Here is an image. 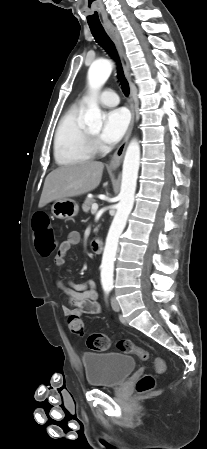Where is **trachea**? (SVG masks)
<instances>
[{
	"label": "trachea",
	"instance_id": "trachea-1",
	"mask_svg": "<svg viewBox=\"0 0 207 449\" xmlns=\"http://www.w3.org/2000/svg\"><path fill=\"white\" fill-rule=\"evenodd\" d=\"M90 30L91 33L94 37V39L96 40V42L105 49V51L113 58L117 61V73H118V79L120 81L121 84V88L122 91L124 93L125 96L129 95V84L128 81L126 80L124 73H123V69L121 66V63L119 61L118 58V54L115 48L114 43L112 42V40L109 38V36L107 35V33L105 32L103 26H90Z\"/></svg>",
	"mask_w": 207,
	"mask_h": 449
}]
</instances>
